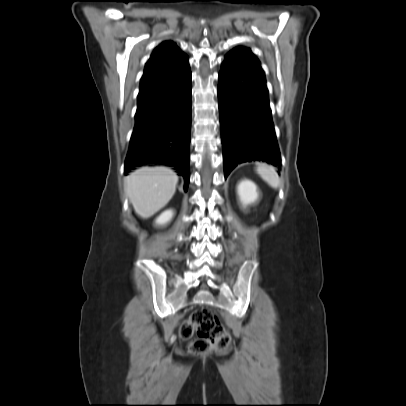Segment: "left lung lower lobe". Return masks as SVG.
<instances>
[{"mask_svg":"<svg viewBox=\"0 0 406 406\" xmlns=\"http://www.w3.org/2000/svg\"><path fill=\"white\" fill-rule=\"evenodd\" d=\"M225 178L240 163L281 164L264 72L247 50L233 49L218 76Z\"/></svg>","mask_w":406,"mask_h":406,"instance_id":"0a47b994","label":"left lung lower lobe"}]
</instances>
